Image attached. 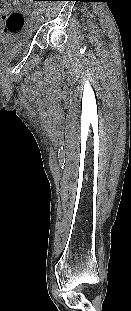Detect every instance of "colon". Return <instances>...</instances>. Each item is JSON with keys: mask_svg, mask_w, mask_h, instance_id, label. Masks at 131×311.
<instances>
[{"mask_svg": "<svg viewBox=\"0 0 131 311\" xmlns=\"http://www.w3.org/2000/svg\"><path fill=\"white\" fill-rule=\"evenodd\" d=\"M6 27L9 31L17 32L24 27V17L20 13L12 14L6 21Z\"/></svg>", "mask_w": 131, "mask_h": 311, "instance_id": "colon-1", "label": "colon"}]
</instances>
